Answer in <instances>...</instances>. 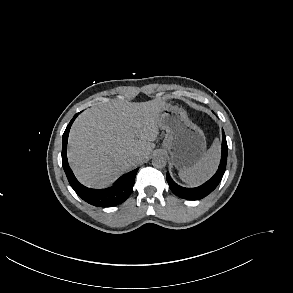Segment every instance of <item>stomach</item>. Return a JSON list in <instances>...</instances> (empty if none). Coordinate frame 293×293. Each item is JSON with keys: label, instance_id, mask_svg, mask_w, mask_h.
Returning <instances> with one entry per match:
<instances>
[{"label": "stomach", "instance_id": "stomach-1", "mask_svg": "<svg viewBox=\"0 0 293 293\" xmlns=\"http://www.w3.org/2000/svg\"><path fill=\"white\" fill-rule=\"evenodd\" d=\"M159 127L166 131L163 147L178 170L196 164L206 153L203 131L192 123L184 109L166 105L159 115Z\"/></svg>", "mask_w": 293, "mask_h": 293}]
</instances>
